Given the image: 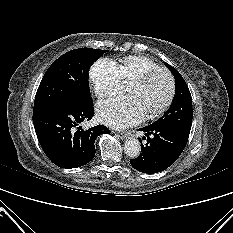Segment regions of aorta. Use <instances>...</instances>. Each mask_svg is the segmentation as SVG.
I'll return each mask as SVG.
<instances>
[{
	"mask_svg": "<svg viewBox=\"0 0 233 233\" xmlns=\"http://www.w3.org/2000/svg\"><path fill=\"white\" fill-rule=\"evenodd\" d=\"M141 146L137 139L128 138L124 144V152L129 158H137L140 155Z\"/></svg>",
	"mask_w": 233,
	"mask_h": 233,
	"instance_id": "1",
	"label": "aorta"
}]
</instances>
